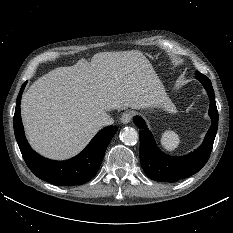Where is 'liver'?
<instances>
[{
  "mask_svg": "<svg viewBox=\"0 0 233 233\" xmlns=\"http://www.w3.org/2000/svg\"><path fill=\"white\" fill-rule=\"evenodd\" d=\"M160 80L140 51L100 52L37 79L23 94L21 115L32 148L64 160L77 155L101 129L97 120L121 108L161 106ZM171 105H167L170 107Z\"/></svg>",
  "mask_w": 233,
  "mask_h": 233,
  "instance_id": "liver-1",
  "label": "liver"
}]
</instances>
